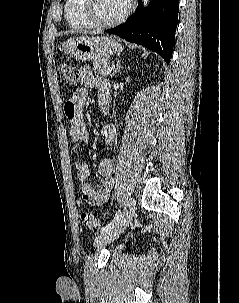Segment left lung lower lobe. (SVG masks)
I'll use <instances>...</instances> for the list:
<instances>
[{
    "label": "left lung lower lobe",
    "mask_w": 239,
    "mask_h": 303,
    "mask_svg": "<svg viewBox=\"0 0 239 303\" xmlns=\"http://www.w3.org/2000/svg\"><path fill=\"white\" fill-rule=\"evenodd\" d=\"M178 12L179 0H151L147 8L139 3L135 14L125 24L106 32L158 53L169 64Z\"/></svg>",
    "instance_id": "left-lung-lower-lobe-1"
}]
</instances>
